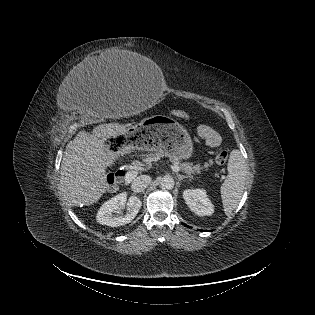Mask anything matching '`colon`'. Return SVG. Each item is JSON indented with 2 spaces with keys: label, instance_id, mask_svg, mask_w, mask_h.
I'll return each mask as SVG.
<instances>
[{
  "label": "colon",
  "instance_id": "1",
  "mask_svg": "<svg viewBox=\"0 0 315 315\" xmlns=\"http://www.w3.org/2000/svg\"><path fill=\"white\" fill-rule=\"evenodd\" d=\"M174 115L182 119L188 118L187 113L181 110L175 111ZM228 157H229V151L227 149H224L216 155V158H215L216 163L219 165H224L227 162Z\"/></svg>",
  "mask_w": 315,
  "mask_h": 315
}]
</instances>
